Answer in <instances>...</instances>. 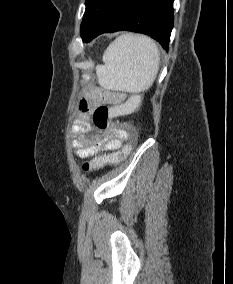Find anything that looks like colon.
I'll use <instances>...</instances> for the list:
<instances>
[{"mask_svg": "<svg viewBox=\"0 0 233 284\" xmlns=\"http://www.w3.org/2000/svg\"><path fill=\"white\" fill-rule=\"evenodd\" d=\"M142 96L140 94L132 95L128 100L118 106L100 105L96 107L92 113L94 125L101 130L109 129L115 125L112 119L118 116H124L136 111L141 103ZM137 140V133L134 128H130L125 144L116 152L94 158L93 160L83 164L85 173L98 169L104 165L117 163L124 160L132 151Z\"/></svg>", "mask_w": 233, "mask_h": 284, "instance_id": "5ec220e1", "label": "colon"}]
</instances>
